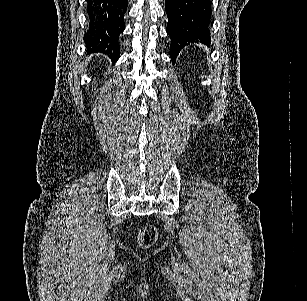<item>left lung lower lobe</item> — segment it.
<instances>
[{"label": "left lung lower lobe", "instance_id": "left-lung-lower-lobe-1", "mask_svg": "<svg viewBox=\"0 0 307 301\" xmlns=\"http://www.w3.org/2000/svg\"><path fill=\"white\" fill-rule=\"evenodd\" d=\"M170 56L174 63L180 50L190 42L211 41V0H165Z\"/></svg>", "mask_w": 307, "mask_h": 301}]
</instances>
